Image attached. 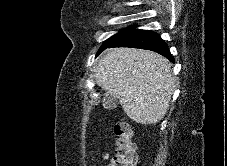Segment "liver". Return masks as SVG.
<instances>
[{"instance_id": "obj_1", "label": "liver", "mask_w": 227, "mask_h": 166, "mask_svg": "<svg viewBox=\"0 0 227 166\" xmlns=\"http://www.w3.org/2000/svg\"><path fill=\"white\" fill-rule=\"evenodd\" d=\"M95 80L119 102L126 115L141 124H155L169 109L175 90L171 64L147 50L114 48L98 62Z\"/></svg>"}]
</instances>
